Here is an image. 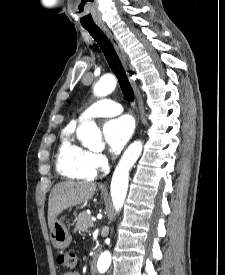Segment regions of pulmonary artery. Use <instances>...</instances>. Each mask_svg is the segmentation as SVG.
Wrapping results in <instances>:
<instances>
[{
  "label": "pulmonary artery",
  "instance_id": "e3ab8cb5",
  "mask_svg": "<svg viewBox=\"0 0 225 275\" xmlns=\"http://www.w3.org/2000/svg\"><path fill=\"white\" fill-rule=\"evenodd\" d=\"M123 111L121 104L109 99H101L88 108H86L79 116L80 120L91 119L96 117L114 116Z\"/></svg>",
  "mask_w": 225,
  "mask_h": 275
}]
</instances>
